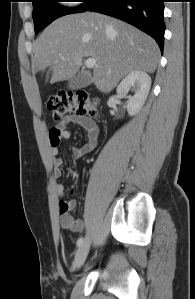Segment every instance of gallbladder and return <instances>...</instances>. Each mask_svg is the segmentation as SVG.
Masks as SVG:
<instances>
[{
	"mask_svg": "<svg viewBox=\"0 0 195 299\" xmlns=\"http://www.w3.org/2000/svg\"><path fill=\"white\" fill-rule=\"evenodd\" d=\"M90 83V78L83 73H78L68 81V88L71 90H77L86 87Z\"/></svg>",
	"mask_w": 195,
	"mask_h": 299,
	"instance_id": "1",
	"label": "gallbladder"
}]
</instances>
